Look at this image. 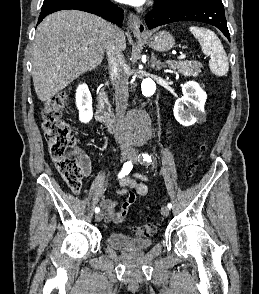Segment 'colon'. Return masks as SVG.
<instances>
[{"label": "colon", "mask_w": 259, "mask_h": 294, "mask_svg": "<svg viewBox=\"0 0 259 294\" xmlns=\"http://www.w3.org/2000/svg\"><path fill=\"white\" fill-rule=\"evenodd\" d=\"M67 93L61 92L48 99L41 111L42 127L48 143L50 157L65 183L74 191L82 184V169L75 148V139L70 126L63 120L62 112L66 105ZM205 146L201 147L204 152ZM190 174H188V178ZM153 222L140 224L134 234L149 237L156 233Z\"/></svg>", "instance_id": "1"}]
</instances>
